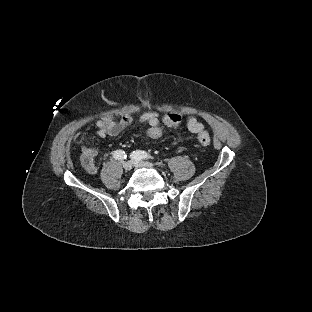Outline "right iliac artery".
<instances>
[{
    "mask_svg": "<svg viewBox=\"0 0 312 312\" xmlns=\"http://www.w3.org/2000/svg\"><path fill=\"white\" fill-rule=\"evenodd\" d=\"M115 159H126L127 155L123 150H116L113 153Z\"/></svg>",
    "mask_w": 312,
    "mask_h": 312,
    "instance_id": "1",
    "label": "right iliac artery"
}]
</instances>
